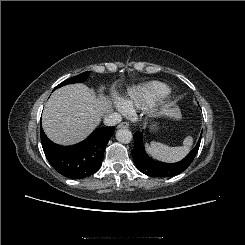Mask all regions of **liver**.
Masks as SVG:
<instances>
[{"mask_svg": "<svg viewBox=\"0 0 245 245\" xmlns=\"http://www.w3.org/2000/svg\"><path fill=\"white\" fill-rule=\"evenodd\" d=\"M112 111L111 100L84 84L64 86L52 93L42 116L45 134L55 143L72 145L84 140Z\"/></svg>", "mask_w": 245, "mask_h": 245, "instance_id": "obj_1", "label": "liver"}]
</instances>
